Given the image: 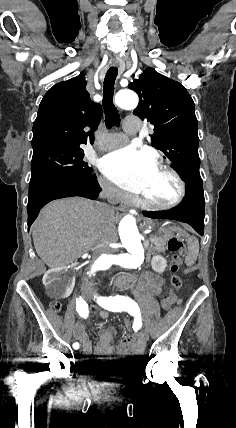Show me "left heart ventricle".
Wrapping results in <instances>:
<instances>
[{
	"mask_svg": "<svg viewBox=\"0 0 236 428\" xmlns=\"http://www.w3.org/2000/svg\"><path fill=\"white\" fill-rule=\"evenodd\" d=\"M175 180L162 169H155L147 178L142 196L160 203L171 201L177 194Z\"/></svg>",
	"mask_w": 236,
	"mask_h": 428,
	"instance_id": "1",
	"label": "left heart ventricle"
}]
</instances>
